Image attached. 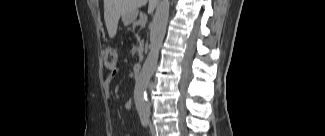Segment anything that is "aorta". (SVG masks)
Instances as JSON below:
<instances>
[{"mask_svg":"<svg viewBox=\"0 0 325 136\" xmlns=\"http://www.w3.org/2000/svg\"><path fill=\"white\" fill-rule=\"evenodd\" d=\"M170 0H161L153 17L150 33V51L136 80L134 102L140 113L149 112L147 88L156 69L159 51L162 46L168 24Z\"/></svg>","mask_w":325,"mask_h":136,"instance_id":"762f6f07","label":"aorta"}]
</instances>
